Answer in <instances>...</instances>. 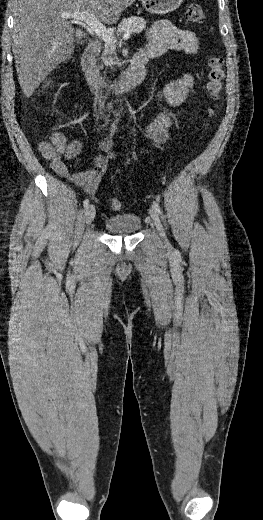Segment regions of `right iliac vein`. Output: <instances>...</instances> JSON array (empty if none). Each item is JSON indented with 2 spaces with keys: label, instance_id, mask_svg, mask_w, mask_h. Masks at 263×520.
I'll return each mask as SVG.
<instances>
[{
  "label": "right iliac vein",
  "instance_id": "1",
  "mask_svg": "<svg viewBox=\"0 0 263 520\" xmlns=\"http://www.w3.org/2000/svg\"><path fill=\"white\" fill-rule=\"evenodd\" d=\"M96 214V210L94 205H89L85 210V222L87 225H90L94 220Z\"/></svg>",
  "mask_w": 263,
  "mask_h": 520
}]
</instances>
